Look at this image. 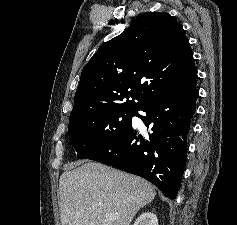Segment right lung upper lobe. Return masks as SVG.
Here are the masks:
<instances>
[{"label":"right lung upper lobe","instance_id":"obj_1","mask_svg":"<svg viewBox=\"0 0 237 225\" xmlns=\"http://www.w3.org/2000/svg\"><path fill=\"white\" fill-rule=\"evenodd\" d=\"M196 79L182 25L168 13L142 14L83 68L69 124L110 111L136 112L159 91L187 88Z\"/></svg>","mask_w":237,"mask_h":225}]
</instances>
